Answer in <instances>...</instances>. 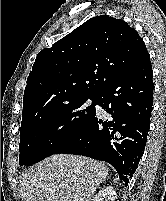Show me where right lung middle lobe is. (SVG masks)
Wrapping results in <instances>:
<instances>
[{
	"label": "right lung middle lobe",
	"mask_w": 166,
	"mask_h": 201,
	"mask_svg": "<svg viewBox=\"0 0 166 201\" xmlns=\"http://www.w3.org/2000/svg\"><path fill=\"white\" fill-rule=\"evenodd\" d=\"M87 99L92 100L90 106H85ZM95 104L96 96H85L39 113L23 115L19 164L29 166L53 155L92 118Z\"/></svg>",
	"instance_id": "right-lung-middle-lobe-1"
}]
</instances>
